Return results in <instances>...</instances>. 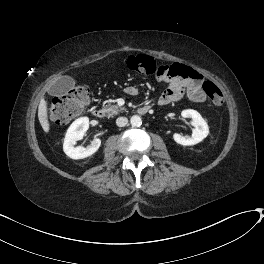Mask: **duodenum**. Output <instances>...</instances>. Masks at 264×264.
<instances>
[{
	"mask_svg": "<svg viewBox=\"0 0 264 264\" xmlns=\"http://www.w3.org/2000/svg\"><path fill=\"white\" fill-rule=\"evenodd\" d=\"M150 110V107L147 105H142L137 109V113L142 115L147 113ZM93 116L97 119H102L105 116V111L101 107H95L92 110Z\"/></svg>",
	"mask_w": 264,
	"mask_h": 264,
	"instance_id": "410a0bca",
	"label": "duodenum"
}]
</instances>
